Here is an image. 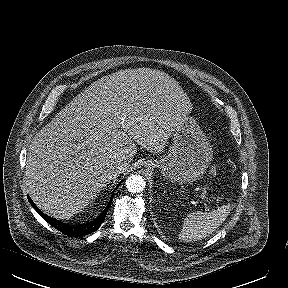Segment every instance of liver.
Instances as JSON below:
<instances>
[{
    "instance_id": "1",
    "label": "liver",
    "mask_w": 288,
    "mask_h": 288,
    "mask_svg": "<svg viewBox=\"0 0 288 288\" xmlns=\"http://www.w3.org/2000/svg\"><path fill=\"white\" fill-rule=\"evenodd\" d=\"M192 108L179 83L159 70L125 69L93 82L33 138L25 171L32 200L70 219L113 180L108 165L127 171L138 146L163 152Z\"/></svg>"
}]
</instances>
